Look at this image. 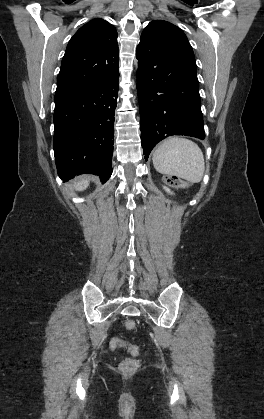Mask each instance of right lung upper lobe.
Returning a JSON list of instances; mask_svg holds the SVG:
<instances>
[{
    "label": "right lung upper lobe",
    "instance_id": "cb5924a9",
    "mask_svg": "<svg viewBox=\"0 0 264 419\" xmlns=\"http://www.w3.org/2000/svg\"><path fill=\"white\" fill-rule=\"evenodd\" d=\"M117 31L96 18L70 39L57 78L56 93L95 85L118 72Z\"/></svg>",
    "mask_w": 264,
    "mask_h": 419
}]
</instances>
